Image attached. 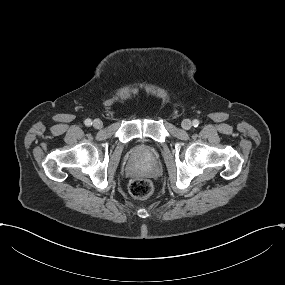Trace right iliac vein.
<instances>
[{
	"label": "right iliac vein",
	"mask_w": 285,
	"mask_h": 285,
	"mask_svg": "<svg viewBox=\"0 0 285 285\" xmlns=\"http://www.w3.org/2000/svg\"><path fill=\"white\" fill-rule=\"evenodd\" d=\"M92 125L95 129H100L103 127V123L100 119H95Z\"/></svg>",
	"instance_id": "obj_1"
}]
</instances>
